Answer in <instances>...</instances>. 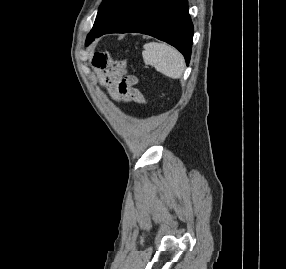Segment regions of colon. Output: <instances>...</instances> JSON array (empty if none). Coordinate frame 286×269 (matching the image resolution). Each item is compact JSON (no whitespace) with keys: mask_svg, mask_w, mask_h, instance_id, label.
Wrapping results in <instances>:
<instances>
[{"mask_svg":"<svg viewBox=\"0 0 286 269\" xmlns=\"http://www.w3.org/2000/svg\"><path fill=\"white\" fill-rule=\"evenodd\" d=\"M115 70H126V65H115ZM120 88H122L121 95H123V100H129V105H138L143 102V94L137 89L140 88V83H136V79L133 76L122 72Z\"/></svg>","mask_w":286,"mask_h":269,"instance_id":"5ec220e1","label":"colon"}]
</instances>
